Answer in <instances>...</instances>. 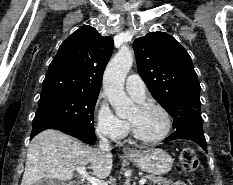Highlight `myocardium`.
I'll return each mask as SVG.
<instances>
[{
    "instance_id": "f54148a6",
    "label": "myocardium",
    "mask_w": 233,
    "mask_h": 185,
    "mask_svg": "<svg viewBox=\"0 0 233 185\" xmlns=\"http://www.w3.org/2000/svg\"><path fill=\"white\" fill-rule=\"evenodd\" d=\"M137 107L140 109H145V108H150V107L159 109L163 113L166 119V128L163 131V133L160 134L159 136L155 138H146L140 135L139 132L136 130L134 124L131 121H129L133 137L139 142H142L145 144H157L163 141L164 139H166L169 136L172 130V127H173V120H172V116L170 112L162 104L155 102V101H151V100L141 101L137 104Z\"/></svg>"
}]
</instances>
